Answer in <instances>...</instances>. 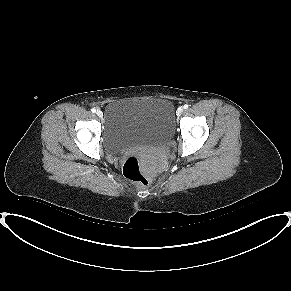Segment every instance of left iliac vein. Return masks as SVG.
<instances>
[{
    "label": "left iliac vein",
    "mask_w": 291,
    "mask_h": 291,
    "mask_svg": "<svg viewBox=\"0 0 291 291\" xmlns=\"http://www.w3.org/2000/svg\"><path fill=\"white\" fill-rule=\"evenodd\" d=\"M177 113V116H181V114L183 113V108L182 107H179L176 111Z\"/></svg>",
    "instance_id": "obj_1"
}]
</instances>
